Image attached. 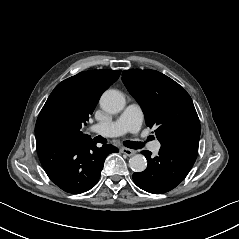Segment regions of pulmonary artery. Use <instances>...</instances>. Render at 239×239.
<instances>
[{"instance_id": "1", "label": "pulmonary artery", "mask_w": 239, "mask_h": 239, "mask_svg": "<svg viewBox=\"0 0 239 239\" xmlns=\"http://www.w3.org/2000/svg\"><path fill=\"white\" fill-rule=\"evenodd\" d=\"M142 122V111L138 104H129L118 119L108 123H96L90 127L91 131L105 130L111 132L114 136H120L127 132H137ZM161 147L159 141L152 144V151L157 153Z\"/></svg>"}]
</instances>
